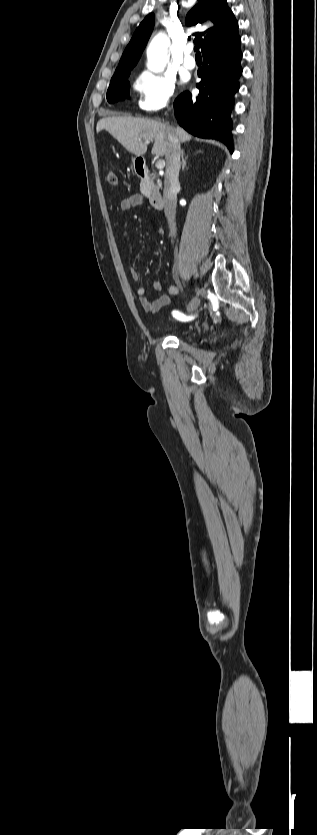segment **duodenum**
Wrapping results in <instances>:
<instances>
[{"label":"duodenum","mask_w":317,"mask_h":835,"mask_svg":"<svg viewBox=\"0 0 317 835\" xmlns=\"http://www.w3.org/2000/svg\"><path fill=\"white\" fill-rule=\"evenodd\" d=\"M135 169H136L137 174L140 177H142V178H149L150 177L148 167L143 160L138 159L136 161ZM149 203L154 209H157V210L162 209L164 201H163V197H162L161 193L153 192L149 196Z\"/></svg>","instance_id":"410a0bca"}]
</instances>
